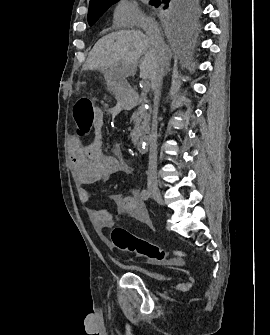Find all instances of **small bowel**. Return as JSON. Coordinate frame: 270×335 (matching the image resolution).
<instances>
[{
	"instance_id": "small-bowel-1",
	"label": "small bowel",
	"mask_w": 270,
	"mask_h": 335,
	"mask_svg": "<svg viewBox=\"0 0 270 335\" xmlns=\"http://www.w3.org/2000/svg\"><path fill=\"white\" fill-rule=\"evenodd\" d=\"M104 128V114L101 109L94 113V137L85 146L75 141L70 149V171L77 185L79 199L87 204V212L91 218L94 228L102 235L115 224L113 209L119 214L133 216L139 222L148 224L150 222L146 206L140 198L139 191L134 189L130 195L112 193L107 196L108 205L95 208L90 204L93 195L83 185L104 181L116 173L133 175L134 170L126 162L120 148H116L112 155L102 151V137Z\"/></svg>"
}]
</instances>
